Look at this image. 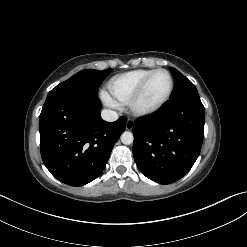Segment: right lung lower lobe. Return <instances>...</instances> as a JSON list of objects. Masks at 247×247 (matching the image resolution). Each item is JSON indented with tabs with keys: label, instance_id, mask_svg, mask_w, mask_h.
<instances>
[{
	"label": "right lung lower lobe",
	"instance_id": "obj_1",
	"mask_svg": "<svg viewBox=\"0 0 247 247\" xmlns=\"http://www.w3.org/2000/svg\"><path fill=\"white\" fill-rule=\"evenodd\" d=\"M98 97L63 94L48 97L40 114V150L50 173L82 186L104 170L126 118L105 122Z\"/></svg>",
	"mask_w": 247,
	"mask_h": 247
}]
</instances>
